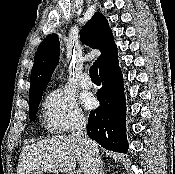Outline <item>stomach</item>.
<instances>
[{
	"label": "stomach",
	"instance_id": "obj_1",
	"mask_svg": "<svg viewBox=\"0 0 175 174\" xmlns=\"http://www.w3.org/2000/svg\"><path fill=\"white\" fill-rule=\"evenodd\" d=\"M28 174H42L40 171H31Z\"/></svg>",
	"mask_w": 175,
	"mask_h": 174
}]
</instances>
